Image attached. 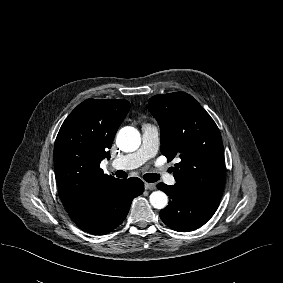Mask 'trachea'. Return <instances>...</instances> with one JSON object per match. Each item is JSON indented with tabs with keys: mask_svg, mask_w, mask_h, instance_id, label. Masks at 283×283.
Returning a JSON list of instances; mask_svg holds the SVG:
<instances>
[{
	"mask_svg": "<svg viewBox=\"0 0 283 283\" xmlns=\"http://www.w3.org/2000/svg\"><path fill=\"white\" fill-rule=\"evenodd\" d=\"M115 175L118 178H127V173L123 170H118L115 172ZM144 180L149 182V183H153L159 180L160 176L158 174L155 173H147L143 176Z\"/></svg>",
	"mask_w": 283,
	"mask_h": 283,
	"instance_id": "obj_1",
	"label": "trachea"
}]
</instances>
